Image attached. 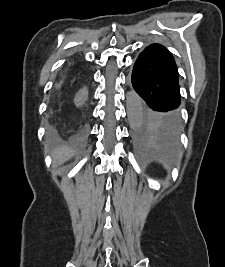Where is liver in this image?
<instances>
[{"mask_svg":"<svg viewBox=\"0 0 225 267\" xmlns=\"http://www.w3.org/2000/svg\"><path fill=\"white\" fill-rule=\"evenodd\" d=\"M73 155H74V151L67 146H61V147L56 148L52 152L54 165L58 166V165L65 163L66 161L71 159Z\"/></svg>","mask_w":225,"mask_h":267,"instance_id":"6515ba94","label":"liver"}]
</instances>
